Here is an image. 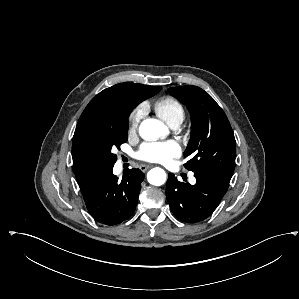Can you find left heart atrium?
Returning a JSON list of instances; mask_svg holds the SVG:
<instances>
[{
  "label": "left heart atrium",
  "mask_w": 299,
  "mask_h": 299,
  "mask_svg": "<svg viewBox=\"0 0 299 299\" xmlns=\"http://www.w3.org/2000/svg\"><path fill=\"white\" fill-rule=\"evenodd\" d=\"M181 154V148L175 141L145 142L137 151V157L141 160L168 164L173 158Z\"/></svg>",
  "instance_id": "1"
}]
</instances>
